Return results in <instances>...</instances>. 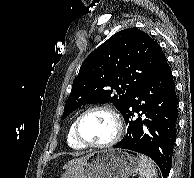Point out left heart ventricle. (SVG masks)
I'll list each match as a JSON object with an SVG mask.
<instances>
[{
	"label": "left heart ventricle",
	"instance_id": "obj_1",
	"mask_svg": "<svg viewBox=\"0 0 194 178\" xmlns=\"http://www.w3.org/2000/svg\"><path fill=\"white\" fill-rule=\"evenodd\" d=\"M81 137L90 143H105L115 133L113 118L104 111H93L86 114L79 126Z\"/></svg>",
	"mask_w": 194,
	"mask_h": 178
}]
</instances>
